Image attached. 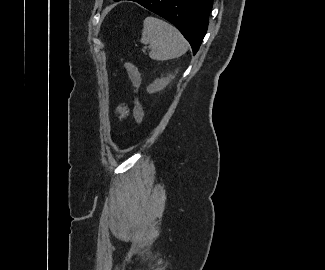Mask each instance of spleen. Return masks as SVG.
<instances>
[{
	"mask_svg": "<svg viewBox=\"0 0 325 270\" xmlns=\"http://www.w3.org/2000/svg\"><path fill=\"white\" fill-rule=\"evenodd\" d=\"M140 41L150 45L149 56L158 61L180 57L188 50L186 40L173 25L151 16L143 21Z\"/></svg>",
	"mask_w": 325,
	"mask_h": 270,
	"instance_id": "obj_1",
	"label": "spleen"
}]
</instances>
